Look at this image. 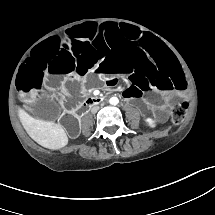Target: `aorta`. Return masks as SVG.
Returning a JSON list of instances; mask_svg holds the SVG:
<instances>
[{"instance_id":"762f6f07","label":"aorta","mask_w":215,"mask_h":215,"mask_svg":"<svg viewBox=\"0 0 215 215\" xmlns=\"http://www.w3.org/2000/svg\"><path fill=\"white\" fill-rule=\"evenodd\" d=\"M109 103H110L111 105H116V104H118V98H117V97H111V98L109 99Z\"/></svg>"}]
</instances>
